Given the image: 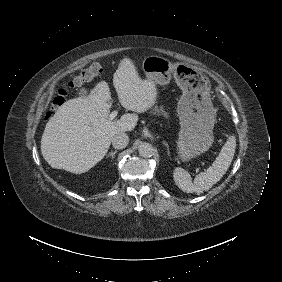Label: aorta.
I'll use <instances>...</instances> for the list:
<instances>
[{
    "label": "aorta",
    "instance_id": "1",
    "mask_svg": "<svg viewBox=\"0 0 282 282\" xmlns=\"http://www.w3.org/2000/svg\"><path fill=\"white\" fill-rule=\"evenodd\" d=\"M138 152L140 156L149 158L154 154L155 151L150 143L144 142L138 147Z\"/></svg>",
    "mask_w": 282,
    "mask_h": 282
}]
</instances>
